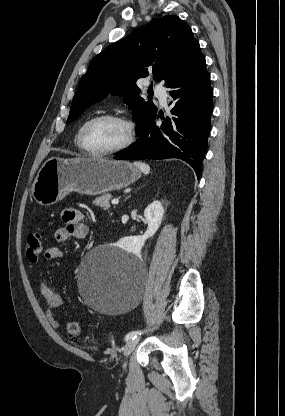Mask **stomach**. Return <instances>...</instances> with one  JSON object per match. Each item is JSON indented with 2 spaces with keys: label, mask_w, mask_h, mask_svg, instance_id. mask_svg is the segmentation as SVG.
Returning <instances> with one entry per match:
<instances>
[{
  "label": "stomach",
  "mask_w": 285,
  "mask_h": 416,
  "mask_svg": "<svg viewBox=\"0 0 285 416\" xmlns=\"http://www.w3.org/2000/svg\"><path fill=\"white\" fill-rule=\"evenodd\" d=\"M141 178L136 166L107 158H49L40 168L31 194L37 204L51 206L70 192L97 196L122 190Z\"/></svg>",
  "instance_id": "stomach-1"
}]
</instances>
